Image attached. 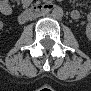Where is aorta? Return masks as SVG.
Masks as SVG:
<instances>
[{"label": "aorta", "mask_w": 91, "mask_h": 91, "mask_svg": "<svg viewBox=\"0 0 91 91\" xmlns=\"http://www.w3.org/2000/svg\"><path fill=\"white\" fill-rule=\"evenodd\" d=\"M64 15L63 9L61 7H55L52 10V16L55 19H61Z\"/></svg>", "instance_id": "aorta-1"}]
</instances>
